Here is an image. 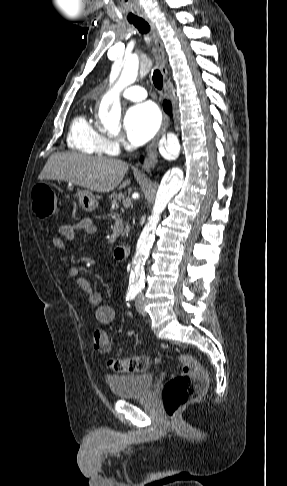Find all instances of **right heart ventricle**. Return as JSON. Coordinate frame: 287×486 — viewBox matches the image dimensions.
<instances>
[{"label": "right heart ventricle", "mask_w": 287, "mask_h": 486, "mask_svg": "<svg viewBox=\"0 0 287 486\" xmlns=\"http://www.w3.org/2000/svg\"><path fill=\"white\" fill-rule=\"evenodd\" d=\"M67 140L71 149L81 153L99 156L111 154L107 139L83 113L73 119Z\"/></svg>", "instance_id": "e07e8e85"}]
</instances>
